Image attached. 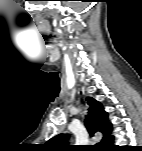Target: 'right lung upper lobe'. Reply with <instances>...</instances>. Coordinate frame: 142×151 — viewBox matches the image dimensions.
Listing matches in <instances>:
<instances>
[{
  "label": "right lung upper lobe",
  "instance_id": "obj_1",
  "mask_svg": "<svg viewBox=\"0 0 142 151\" xmlns=\"http://www.w3.org/2000/svg\"><path fill=\"white\" fill-rule=\"evenodd\" d=\"M88 105L90 106L87 118L85 120L86 127L91 136L96 132H101L103 138L101 140V146L107 148L112 142L114 137L111 136L112 125L108 122V113L104 110L102 104L92 97H87ZM70 136L68 134H59L51 138L47 144L48 148L54 150H61L69 148L68 145H64V141Z\"/></svg>",
  "mask_w": 142,
  "mask_h": 151
}]
</instances>
